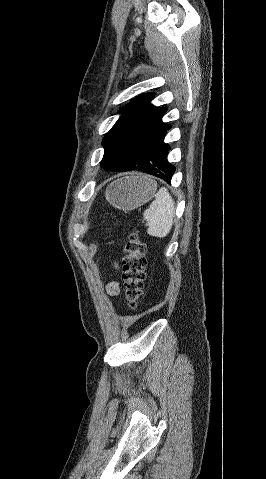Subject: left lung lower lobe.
<instances>
[{"label": "left lung lower lobe", "mask_w": 266, "mask_h": 479, "mask_svg": "<svg viewBox=\"0 0 266 479\" xmlns=\"http://www.w3.org/2000/svg\"><path fill=\"white\" fill-rule=\"evenodd\" d=\"M170 128V125H166L165 132L159 142V152L157 153L155 158L148 160L145 159L136 168L121 171L138 169L148 174L159 177L170 183L171 178L175 172V167L167 161V155L168 151L170 150V147L168 144L164 143V138Z\"/></svg>", "instance_id": "obj_1"}]
</instances>
